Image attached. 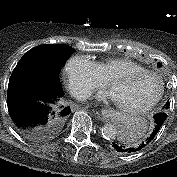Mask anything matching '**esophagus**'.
Here are the masks:
<instances>
[{"instance_id": "34e87169", "label": "esophagus", "mask_w": 177, "mask_h": 177, "mask_svg": "<svg viewBox=\"0 0 177 177\" xmlns=\"http://www.w3.org/2000/svg\"><path fill=\"white\" fill-rule=\"evenodd\" d=\"M101 114H102V118L105 119L107 118L108 116H110L111 112L108 110V109H103L101 111Z\"/></svg>"}]
</instances>
